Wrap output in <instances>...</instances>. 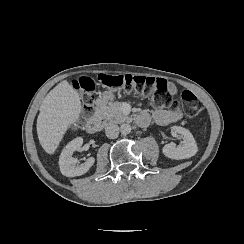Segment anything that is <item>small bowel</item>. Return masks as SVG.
I'll return each instance as SVG.
<instances>
[{"mask_svg": "<svg viewBox=\"0 0 244 244\" xmlns=\"http://www.w3.org/2000/svg\"><path fill=\"white\" fill-rule=\"evenodd\" d=\"M169 90L172 94H175L176 89L173 85L169 87ZM152 116L154 121L161 126L168 125L174 122L179 121L182 118V110L181 109H165V108H155L150 111L143 113V115L147 118Z\"/></svg>", "mask_w": 244, "mask_h": 244, "instance_id": "c3829d8e", "label": "small bowel"}]
</instances>
